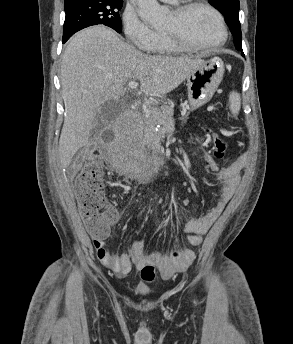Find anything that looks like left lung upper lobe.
I'll list each match as a JSON object with an SVG mask.
<instances>
[{
	"instance_id": "left-lung-upper-lobe-1",
	"label": "left lung upper lobe",
	"mask_w": 293,
	"mask_h": 344,
	"mask_svg": "<svg viewBox=\"0 0 293 344\" xmlns=\"http://www.w3.org/2000/svg\"><path fill=\"white\" fill-rule=\"evenodd\" d=\"M209 3L217 8L225 17L229 26L236 49L242 51V34L239 22V0H208Z\"/></svg>"
}]
</instances>
